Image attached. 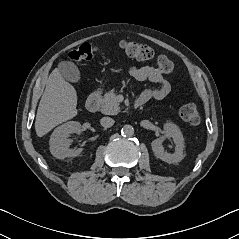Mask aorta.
<instances>
[{
	"mask_svg": "<svg viewBox=\"0 0 239 239\" xmlns=\"http://www.w3.org/2000/svg\"><path fill=\"white\" fill-rule=\"evenodd\" d=\"M121 133L124 136L132 137L134 135V128L131 125H124L121 129Z\"/></svg>",
	"mask_w": 239,
	"mask_h": 239,
	"instance_id": "aorta-1",
	"label": "aorta"
}]
</instances>
